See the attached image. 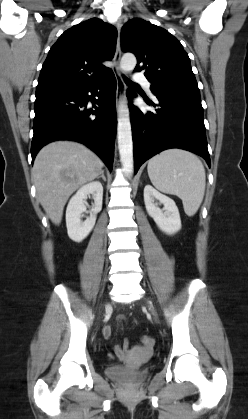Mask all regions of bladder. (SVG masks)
Masks as SVG:
<instances>
[{
  "label": "bladder",
  "instance_id": "31cf9c89",
  "mask_svg": "<svg viewBox=\"0 0 248 419\" xmlns=\"http://www.w3.org/2000/svg\"><path fill=\"white\" fill-rule=\"evenodd\" d=\"M106 374L109 378L128 386H138L147 380L150 373L146 369H136L130 365H117L108 366Z\"/></svg>",
  "mask_w": 248,
  "mask_h": 419
}]
</instances>
